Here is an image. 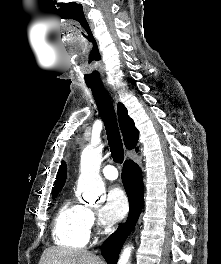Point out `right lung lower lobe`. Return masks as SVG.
Returning <instances> with one entry per match:
<instances>
[{
  "mask_svg": "<svg viewBox=\"0 0 221 264\" xmlns=\"http://www.w3.org/2000/svg\"><path fill=\"white\" fill-rule=\"evenodd\" d=\"M122 182L129 199V215L126 223L110 235L101 247V252L108 264H117L120 250L136 225L143 206L144 185L139 166L127 160L122 171Z\"/></svg>",
  "mask_w": 221,
  "mask_h": 264,
  "instance_id": "obj_1",
  "label": "right lung lower lobe"
}]
</instances>
